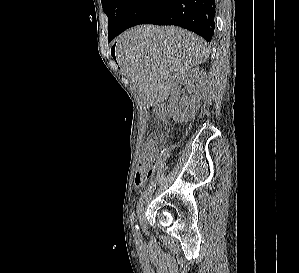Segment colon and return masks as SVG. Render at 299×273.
I'll use <instances>...</instances> for the list:
<instances>
[{
  "label": "colon",
  "mask_w": 299,
  "mask_h": 273,
  "mask_svg": "<svg viewBox=\"0 0 299 273\" xmlns=\"http://www.w3.org/2000/svg\"><path fill=\"white\" fill-rule=\"evenodd\" d=\"M156 144L155 141L150 139L146 142L142 159L138 164L136 172L137 180H146L152 173V157L155 152Z\"/></svg>",
  "instance_id": "1"
}]
</instances>
